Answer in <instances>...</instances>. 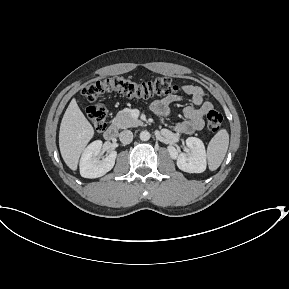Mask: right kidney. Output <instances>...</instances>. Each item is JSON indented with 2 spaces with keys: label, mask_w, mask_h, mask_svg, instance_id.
<instances>
[{
  "label": "right kidney",
  "mask_w": 289,
  "mask_h": 289,
  "mask_svg": "<svg viewBox=\"0 0 289 289\" xmlns=\"http://www.w3.org/2000/svg\"><path fill=\"white\" fill-rule=\"evenodd\" d=\"M102 148V141L96 140L89 144L82 153L80 159V174L84 178H98L109 172L117 156L116 151H112L104 159L97 158Z\"/></svg>",
  "instance_id": "ca27d5eb"
}]
</instances>
